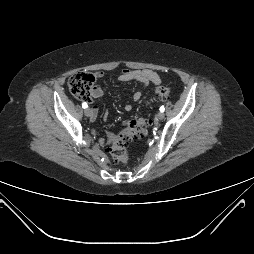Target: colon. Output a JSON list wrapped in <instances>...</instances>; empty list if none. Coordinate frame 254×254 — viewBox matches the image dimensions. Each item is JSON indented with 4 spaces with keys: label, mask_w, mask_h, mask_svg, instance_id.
Returning <instances> with one entry per match:
<instances>
[{
    "label": "colon",
    "mask_w": 254,
    "mask_h": 254,
    "mask_svg": "<svg viewBox=\"0 0 254 254\" xmlns=\"http://www.w3.org/2000/svg\"><path fill=\"white\" fill-rule=\"evenodd\" d=\"M95 76L89 73H77L68 80L71 94L80 100H88L94 88ZM171 89L160 86L155 89V94L161 98L169 97ZM149 120L144 117L132 118L126 122L122 131L111 140L110 154L118 163H128L127 145L135 139L143 138L148 133Z\"/></svg>",
    "instance_id": "colon-1"
}]
</instances>
